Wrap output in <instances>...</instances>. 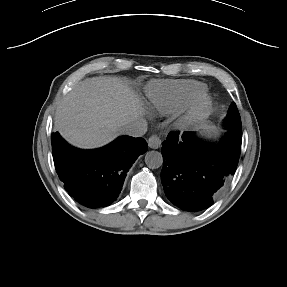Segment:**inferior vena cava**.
Returning a JSON list of instances; mask_svg holds the SVG:
<instances>
[{"label":"inferior vena cava","instance_id":"obj_1","mask_svg":"<svg viewBox=\"0 0 287 287\" xmlns=\"http://www.w3.org/2000/svg\"><path fill=\"white\" fill-rule=\"evenodd\" d=\"M148 124L143 118L132 120L122 127V133L132 137H141L147 132Z\"/></svg>","mask_w":287,"mask_h":287}]
</instances>
